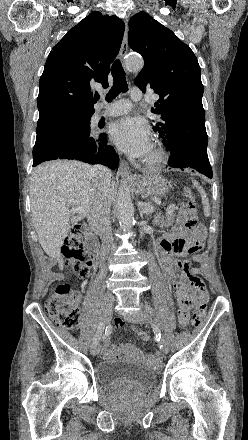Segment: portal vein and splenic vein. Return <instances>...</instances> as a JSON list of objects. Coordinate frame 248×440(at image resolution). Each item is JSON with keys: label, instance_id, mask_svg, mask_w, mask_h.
Instances as JSON below:
<instances>
[{"label": "portal vein and splenic vein", "instance_id": "18ae733b", "mask_svg": "<svg viewBox=\"0 0 248 440\" xmlns=\"http://www.w3.org/2000/svg\"><path fill=\"white\" fill-rule=\"evenodd\" d=\"M139 206L141 207V211L143 213H145V214L152 213L155 210V207H153V206H151L149 204L139 203ZM72 211H74V212H82V209L81 208L73 207Z\"/></svg>", "mask_w": 248, "mask_h": 440}]
</instances>
